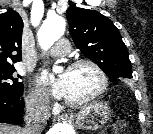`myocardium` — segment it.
<instances>
[{
    "instance_id": "f54148a6",
    "label": "myocardium",
    "mask_w": 153,
    "mask_h": 134,
    "mask_svg": "<svg viewBox=\"0 0 153 134\" xmlns=\"http://www.w3.org/2000/svg\"><path fill=\"white\" fill-rule=\"evenodd\" d=\"M80 66H89L96 72V74L99 77V86L92 94L88 95L87 97H85L83 99H80L77 101L65 99V103L71 107H79V106H83V105L91 102L92 100L99 97L102 93H104V91L108 87L107 74L105 73L103 68L92 59L83 58V59L75 60L68 66L67 71L73 70V69L80 67Z\"/></svg>"
}]
</instances>
